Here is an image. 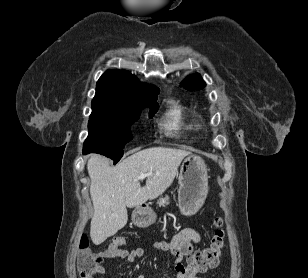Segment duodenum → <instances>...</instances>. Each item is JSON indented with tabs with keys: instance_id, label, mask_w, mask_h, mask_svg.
I'll list each match as a JSON object with an SVG mask.
<instances>
[{
	"instance_id": "obj_1",
	"label": "duodenum",
	"mask_w": 308,
	"mask_h": 278,
	"mask_svg": "<svg viewBox=\"0 0 308 278\" xmlns=\"http://www.w3.org/2000/svg\"><path fill=\"white\" fill-rule=\"evenodd\" d=\"M144 210H145V207H141L140 211L144 212Z\"/></svg>"
}]
</instances>
